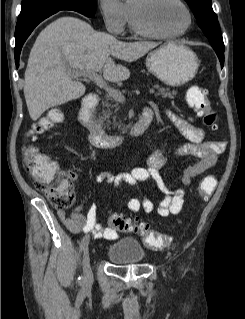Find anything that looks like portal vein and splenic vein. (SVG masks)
<instances>
[{
    "instance_id": "portal-vein-and-splenic-vein-1",
    "label": "portal vein and splenic vein",
    "mask_w": 245,
    "mask_h": 319,
    "mask_svg": "<svg viewBox=\"0 0 245 319\" xmlns=\"http://www.w3.org/2000/svg\"><path fill=\"white\" fill-rule=\"evenodd\" d=\"M73 75H80V76H85L94 81L99 87L105 89L108 94L114 98L116 101L124 103L125 102V96L123 93H121L120 90L115 89L107 85V82L102 78V76L98 75L97 72L93 70H72ZM155 90L154 89H149V94H154Z\"/></svg>"
}]
</instances>
